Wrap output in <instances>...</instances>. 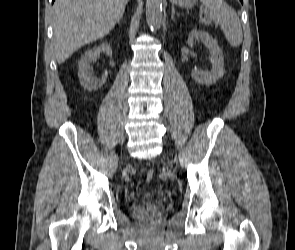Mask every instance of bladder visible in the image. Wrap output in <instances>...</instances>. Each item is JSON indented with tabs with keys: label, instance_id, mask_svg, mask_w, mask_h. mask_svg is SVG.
<instances>
[{
	"label": "bladder",
	"instance_id": "1",
	"mask_svg": "<svg viewBox=\"0 0 295 250\" xmlns=\"http://www.w3.org/2000/svg\"><path fill=\"white\" fill-rule=\"evenodd\" d=\"M145 198H146V199H149V200H152V199H153V196L150 195V194H147V195H145Z\"/></svg>",
	"mask_w": 295,
	"mask_h": 250
}]
</instances>
